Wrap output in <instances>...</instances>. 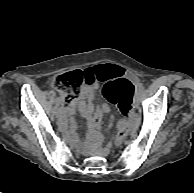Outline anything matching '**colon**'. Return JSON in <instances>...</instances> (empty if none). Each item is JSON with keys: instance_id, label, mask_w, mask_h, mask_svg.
I'll return each mask as SVG.
<instances>
[{"instance_id": "1", "label": "colon", "mask_w": 194, "mask_h": 193, "mask_svg": "<svg viewBox=\"0 0 194 193\" xmlns=\"http://www.w3.org/2000/svg\"><path fill=\"white\" fill-rule=\"evenodd\" d=\"M85 81V74L80 70H74L57 76L54 79V84L60 89L66 103L73 102L78 99L81 93L82 85ZM132 83L125 78H118L108 83L103 90L106 98L112 99L113 93L117 89H131ZM128 127L121 125L116 133L114 145L120 146L127 134Z\"/></svg>"}]
</instances>
